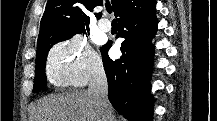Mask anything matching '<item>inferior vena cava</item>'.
Segmentation results:
<instances>
[{
  "label": "inferior vena cava",
  "mask_w": 217,
  "mask_h": 121,
  "mask_svg": "<svg viewBox=\"0 0 217 121\" xmlns=\"http://www.w3.org/2000/svg\"><path fill=\"white\" fill-rule=\"evenodd\" d=\"M88 94L92 96L94 103L102 115V121H114L112 107L108 100V83L103 66L94 71L88 88Z\"/></svg>",
  "instance_id": "inferior-vena-cava-1"
}]
</instances>
